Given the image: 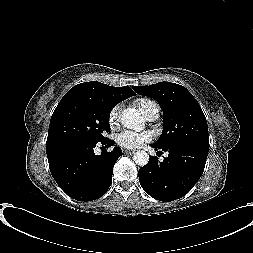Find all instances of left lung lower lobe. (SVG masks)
<instances>
[{
    "label": "left lung lower lobe",
    "mask_w": 253,
    "mask_h": 253,
    "mask_svg": "<svg viewBox=\"0 0 253 253\" xmlns=\"http://www.w3.org/2000/svg\"><path fill=\"white\" fill-rule=\"evenodd\" d=\"M151 146L155 150L167 151L169 155L162 162L151 157L140 168L139 181L144 191L165 202L186 195L204 171L209 147L190 142H180L165 148H158L154 144Z\"/></svg>",
    "instance_id": "1"
}]
</instances>
